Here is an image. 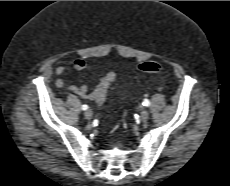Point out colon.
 Here are the masks:
<instances>
[{"instance_id": "1", "label": "colon", "mask_w": 230, "mask_h": 186, "mask_svg": "<svg viewBox=\"0 0 230 186\" xmlns=\"http://www.w3.org/2000/svg\"><path fill=\"white\" fill-rule=\"evenodd\" d=\"M138 69L142 72H147V73H160L163 71V66L156 62H143L138 65ZM114 79H115V74L109 73L108 80L113 81ZM103 101H104V98L100 100L101 103Z\"/></svg>"}]
</instances>
